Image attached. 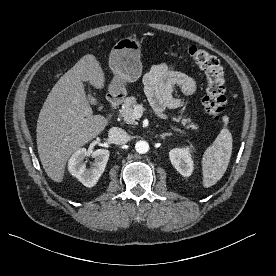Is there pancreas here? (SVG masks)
<instances>
[{
	"mask_svg": "<svg viewBox=\"0 0 276 276\" xmlns=\"http://www.w3.org/2000/svg\"><path fill=\"white\" fill-rule=\"evenodd\" d=\"M137 98L134 96L127 97L120 109V115L123 117L127 124L136 123V117L133 114L134 107L137 106ZM172 120L175 122H180L187 129H198L197 124L191 122L190 118L182 117L181 115L173 116Z\"/></svg>",
	"mask_w": 276,
	"mask_h": 276,
	"instance_id": "cf45deb5",
	"label": "pancreas"
}]
</instances>
